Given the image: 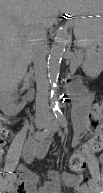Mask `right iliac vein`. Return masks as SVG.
<instances>
[{
    "mask_svg": "<svg viewBox=\"0 0 103 193\" xmlns=\"http://www.w3.org/2000/svg\"><path fill=\"white\" fill-rule=\"evenodd\" d=\"M46 125H47V123H46L45 121H38V122L36 123V127H37L38 129H43L44 127H46Z\"/></svg>",
    "mask_w": 103,
    "mask_h": 193,
    "instance_id": "obj_1",
    "label": "right iliac vein"
}]
</instances>
